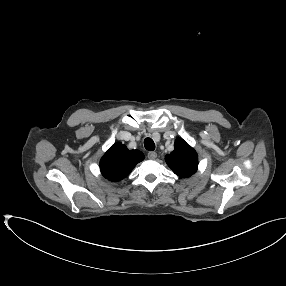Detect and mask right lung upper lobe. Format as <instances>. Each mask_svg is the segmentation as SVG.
I'll return each mask as SVG.
<instances>
[{"label":"right lung upper lobe","instance_id":"obj_1","mask_svg":"<svg viewBox=\"0 0 286 286\" xmlns=\"http://www.w3.org/2000/svg\"><path fill=\"white\" fill-rule=\"evenodd\" d=\"M143 160L144 154L141 151L128 150L122 143H115L101 158L100 170L106 179L120 181Z\"/></svg>","mask_w":286,"mask_h":286}]
</instances>
